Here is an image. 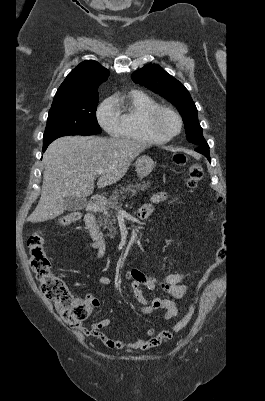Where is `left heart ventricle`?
I'll list each match as a JSON object with an SVG mask.
<instances>
[{
    "mask_svg": "<svg viewBox=\"0 0 265 401\" xmlns=\"http://www.w3.org/2000/svg\"><path fill=\"white\" fill-rule=\"evenodd\" d=\"M154 134L158 139H166L175 135L179 130V123L173 116L160 113L156 116L153 124Z\"/></svg>",
    "mask_w": 265,
    "mask_h": 401,
    "instance_id": "1",
    "label": "left heart ventricle"
}]
</instances>
